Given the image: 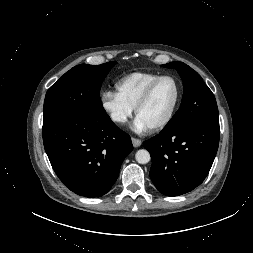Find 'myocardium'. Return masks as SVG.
Wrapping results in <instances>:
<instances>
[{
    "label": "myocardium",
    "mask_w": 253,
    "mask_h": 253,
    "mask_svg": "<svg viewBox=\"0 0 253 253\" xmlns=\"http://www.w3.org/2000/svg\"><path fill=\"white\" fill-rule=\"evenodd\" d=\"M164 79H171L174 81L175 85H176V97H175V100H174V103L170 109V112L169 114L167 115V117L161 121L160 123H158L157 125L149 128V130L151 132H158V131H161L163 130L164 128H166L170 123L171 121L173 120L176 112H177V109H178V106L180 104V101H181V96H182V90H181V85H180V82L179 80L173 76V75H170V74H167V75H161L160 77H158L156 80H154L147 88L146 90L143 92V94L141 95V97L139 98V100L137 101L135 107H134V113H135V116L137 117L138 116V113L139 111L142 109V107L145 106V104L149 101L152 93L154 92L155 88L158 86V84L163 81Z\"/></svg>",
    "instance_id": "1"
}]
</instances>
